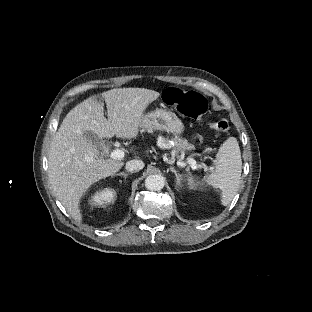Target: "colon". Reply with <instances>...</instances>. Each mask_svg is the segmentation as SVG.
Wrapping results in <instances>:
<instances>
[{"label": "colon", "mask_w": 312, "mask_h": 312, "mask_svg": "<svg viewBox=\"0 0 312 312\" xmlns=\"http://www.w3.org/2000/svg\"><path fill=\"white\" fill-rule=\"evenodd\" d=\"M164 101L169 107L177 109L183 115L194 120H201L202 115L207 110L205 98L193 91L169 88L165 93ZM207 126L221 132L227 131L229 128L227 120L220 117L209 121Z\"/></svg>", "instance_id": "colon-1"}]
</instances>
